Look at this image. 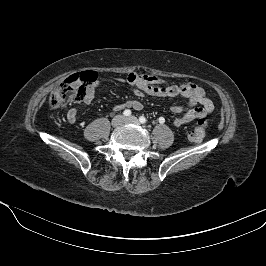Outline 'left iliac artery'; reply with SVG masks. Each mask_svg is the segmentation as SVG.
Returning a JSON list of instances; mask_svg holds the SVG:
<instances>
[{
  "label": "left iliac artery",
  "mask_w": 266,
  "mask_h": 266,
  "mask_svg": "<svg viewBox=\"0 0 266 266\" xmlns=\"http://www.w3.org/2000/svg\"><path fill=\"white\" fill-rule=\"evenodd\" d=\"M139 121L142 123V124H145L146 123V118L144 116H140L139 117Z\"/></svg>",
  "instance_id": "44dca946"
}]
</instances>
